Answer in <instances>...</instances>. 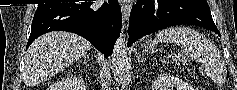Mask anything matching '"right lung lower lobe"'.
<instances>
[{"mask_svg": "<svg viewBox=\"0 0 237 90\" xmlns=\"http://www.w3.org/2000/svg\"><path fill=\"white\" fill-rule=\"evenodd\" d=\"M93 2L40 4L32 21L26 46L50 31L76 33L91 42L106 57L121 31L122 14L117 1L91 7Z\"/></svg>", "mask_w": 237, "mask_h": 90, "instance_id": "right-lung-lower-lobe-1", "label": "right lung lower lobe"}]
</instances>
